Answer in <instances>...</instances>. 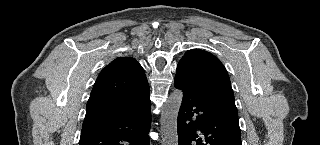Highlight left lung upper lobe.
<instances>
[{
  "label": "left lung upper lobe",
  "instance_id": "5c2ea615",
  "mask_svg": "<svg viewBox=\"0 0 320 145\" xmlns=\"http://www.w3.org/2000/svg\"><path fill=\"white\" fill-rule=\"evenodd\" d=\"M180 62L203 71L216 80L222 82L224 93L220 95L219 104L229 115L238 119V112L235 106L234 93L231 87L230 78L219 59L207 51L192 49L185 53Z\"/></svg>",
  "mask_w": 320,
  "mask_h": 145
}]
</instances>
